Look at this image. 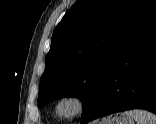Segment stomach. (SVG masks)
I'll list each match as a JSON object with an SVG mask.
<instances>
[{
	"instance_id": "1",
	"label": "stomach",
	"mask_w": 156,
	"mask_h": 124,
	"mask_svg": "<svg viewBox=\"0 0 156 124\" xmlns=\"http://www.w3.org/2000/svg\"><path fill=\"white\" fill-rule=\"evenodd\" d=\"M101 124H134L132 118L126 117L124 114H116L113 119L103 121Z\"/></svg>"
}]
</instances>
